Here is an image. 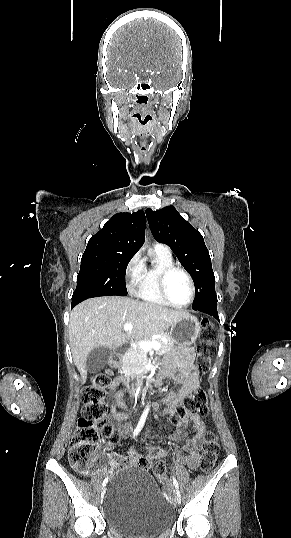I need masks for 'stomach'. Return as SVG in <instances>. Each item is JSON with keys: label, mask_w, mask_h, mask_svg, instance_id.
Masks as SVG:
<instances>
[{"label": "stomach", "mask_w": 291, "mask_h": 538, "mask_svg": "<svg viewBox=\"0 0 291 538\" xmlns=\"http://www.w3.org/2000/svg\"><path fill=\"white\" fill-rule=\"evenodd\" d=\"M200 333V323L195 316L186 314L170 328L171 340L178 346L184 347L193 344Z\"/></svg>", "instance_id": "0dacf381"}]
</instances>
